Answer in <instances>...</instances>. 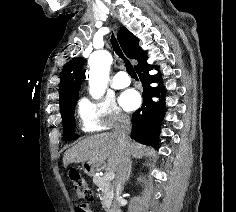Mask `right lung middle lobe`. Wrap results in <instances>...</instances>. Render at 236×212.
I'll return each instance as SVG.
<instances>
[{"instance_id":"1","label":"right lung middle lobe","mask_w":236,"mask_h":212,"mask_svg":"<svg viewBox=\"0 0 236 212\" xmlns=\"http://www.w3.org/2000/svg\"><path fill=\"white\" fill-rule=\"evenodd\" d=\"M77 98L69 100L63 109H60L63 120V139L74 140L78 136L74 133V111Z\"/></svg>"}]
</instances>
